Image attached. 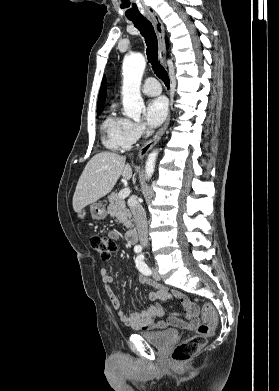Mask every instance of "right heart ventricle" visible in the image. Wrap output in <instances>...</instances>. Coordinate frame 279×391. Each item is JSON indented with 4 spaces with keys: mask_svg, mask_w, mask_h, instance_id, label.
Listing matches in <instances>:
<instances>
[{
    "mask_svg": "<svg viewBox=\"0 0 279 391\" xmlns=\"http://www.w3.org/2000/svg\"><path fill=\"white\" fill-rule=\"evenodd\" d=\"M127 120L120 117L112 107L102 123L103 143L111 150L129 149L131 144L125 136Z\"/></svg>",
    "mask_w": 279,
    "mask_h": 391,
    "instance_id": "right-heart-ventricle-1",
    "label": "right heart ventricle"
}]
</instances>
